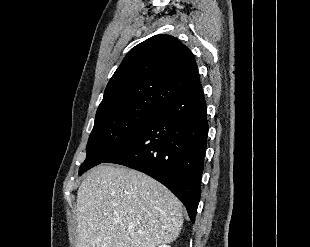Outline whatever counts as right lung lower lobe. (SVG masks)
Returning a JSON list of instances; mask_svg holds the SVG:
<instances>
[{"label": "right lung lower lobe", "instance_id": "right-lung-lower-lobe-1", "mask_svg": "<svg viewBox=\"0 0 310 247\" xmlns=\"http://www.w3.org/2000/svg\"><path fill=\"white\" fill-rule=\"evenodd\" d=\"M202 88L154 114L104 162L141 171L170 189L195 221L208 122Z\"/></svg>", "mask_w": 310, "mask_h": 247}]
</instances>
